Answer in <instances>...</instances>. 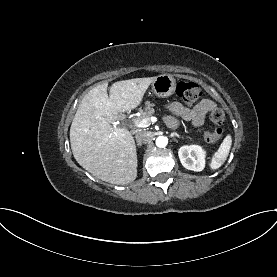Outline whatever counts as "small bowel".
<instances>
[{"instance_id":"c3829d8e","label":"small bowel","mask_w":277,"mask_h":277,"mask_svg":"<svg viewBox=\"0 0 277 277\" xmlns=\"http://www.w3.org/2000/svg\"><path fill=\"white\" fill-rule=\"evenodd\" d=\"M214 107L215 103L209 99H203L193 108H188L179 102H172L167 105L169 114L166 116V121L172 127L178 125L179 119L200 126L203 124L206 114Z\"/></svg>"}]
</instances>
